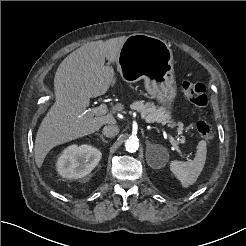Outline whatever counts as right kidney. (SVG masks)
<instances>
[{"label": "right kidney", "mask_w": 246, "mask_h": 246, "mask_svg": "<svg viewBox=\"0 0 246 246\" xmlns=\"http://www.w3.org/2000/svg\"><path fill=\"white\" fill-rule=\"evenodd\" d=\"M101 157L100 150L91 145H70L59 156L57 171L67 179L82 178L97 166Z\"/></svg>", "instance_id": "right-kidney-1"}]
</instances>
